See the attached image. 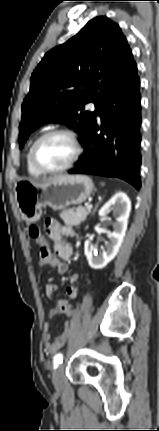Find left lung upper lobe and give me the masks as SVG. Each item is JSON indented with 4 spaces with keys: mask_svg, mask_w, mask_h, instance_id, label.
Wrapping results in <instances>:
<instances>
[{
    "mask_svg": "<svg viewBox=\"0 0 159 431\" xmlns=\"http://www.w3.org/2000/svg\"><path fill=\"white\" fill-rule=\"evenodd\" d=\"M134 62L119 26L89 21L74 37L45 54L22 104L19 144L47 121L66 124L84 139L99 105ZM94 102V112L84 105Z\"/></svg>",
    "mask_w": 159,
    "mask_h": 431,
    "instance_id": "left-lung-upper-lobe-1",
    "label": "left lung upper lobe"
}]
</instances>
